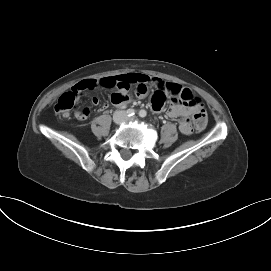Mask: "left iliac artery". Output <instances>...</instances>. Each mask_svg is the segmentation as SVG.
<instances>
[{"label":"left iliac artery","instance_id":"44dca946","mask_svg":"<svg viewBox=\"0 0 271 271\" xmlns=\"http://www.w3.org/2000/svg\"><path fill=\"white\" fill-rule=\"evenodd\" d=\"M139 116L144 118V117L147 116V112L144 109H142V110L139 111Z\"/></svg>","mask_w":271,"mask_h":271}]
</instances>
